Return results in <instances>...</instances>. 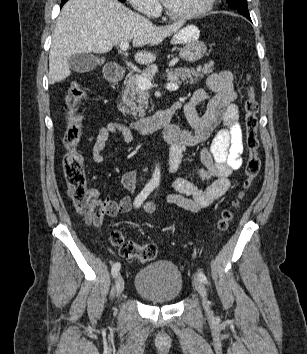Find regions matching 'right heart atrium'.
Instances as JSON below:
<instances>
[{
    "label": "right heart atrium",
    "mask_w": 307,
    "mask_h": 354,
    "mask_svg": "<svg viewBox=\"0 0 307 354\" xmlns=\"http://www.w3.org/2000/svg\"><path fill=\"white\" fill-rule=\"evenodd\" d=\"M128 3L138 12L153 17L158 14L160 4L158 0H127Z\"/></svg>",
    "instance_id": "obj_1"
}]
</instances>
